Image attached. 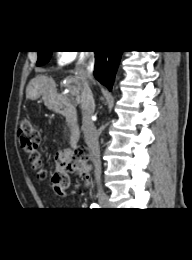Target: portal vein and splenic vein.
I'll return each mask as SVG.
<instances>
[{"instance_id": "1", "label": "portal vein and splenic vein", "mask_w": 192, "mask_h": 260, "mask_svg": "<svg viewBox=\"0 0 192 260\" xmlns=\"http://www.w3.org/2000/svg\"><path fill=\"white\" fill-rule=\"evenodd\" d=\"M70 94H71V95H76V94H77V91H76L75 89H71V90H70Z\"/></svg>"}]
</instances>
